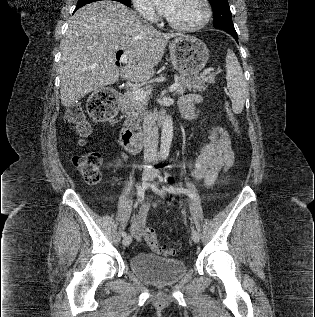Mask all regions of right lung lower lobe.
Instances as JSON below:
<instances>
[{"mask_svg":"<svg viewBox=\"0 0 315 317\" xmlns=\"http://www.w3.org/2000/svg\"><path fill=\"white\" fill-rule=\"evenodd\" d=\"M80 7H76V9H75V11L77 10V9H79Z\"/></svg>","mask_w":315,"mask_h":317,"instance_id":"98d812e1","label":"right lung lower lobe"}]
</instances>
